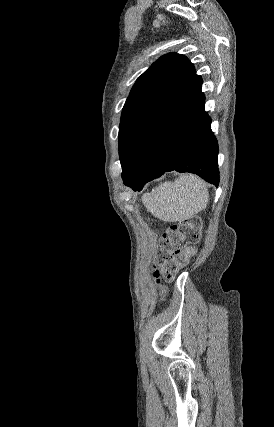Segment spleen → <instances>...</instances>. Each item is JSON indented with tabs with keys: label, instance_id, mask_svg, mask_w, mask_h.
Returning a JSON list of instances; mask_svg holds the SVG:
<instances>
[{
	"label": "spleen",
	"instance_id": "obj_1",
	"mask_svg": "<svg viewBox=\"0 0 274 427\" xmlns=\"http://www.w3.org/2000/svg\"><path fill=\"white\" fill-rule=\"evenodd\" d=\"M142 202L155 217L163 221H179L206 208L208 190L198 176L183 174L175 182H164L151 194H143Z\"/></svg>",
	"mask_w": 274,
	"mask_h": 427
}]
</instances>
